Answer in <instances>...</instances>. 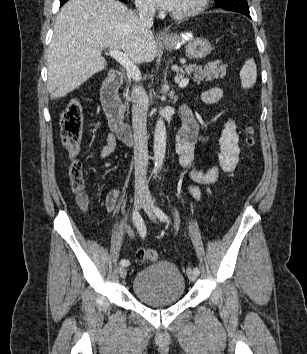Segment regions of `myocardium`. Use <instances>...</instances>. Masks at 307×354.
Instances as JSON below:
<instances>
[{
  "mask_svg": "<svg viewBox=\"0 0 307 354\" xmlns=\"http://www.w3.org/2000/svg\"><path fill=\"white\" fill-rule=\"evenodd\" d=\"M209 0H196L194 5L192 7H190L189 9L183 11V12H172L171 15L173 18L175 19H187L190 17H193L197 14H199L200 12H202L206 6L208 5Z\"/></svg>",
  "mask_w": 307,
  "mask_h": 354,
  "instance_id": "f54148a6",
  "label": "myocardium"
}]
</instances>
